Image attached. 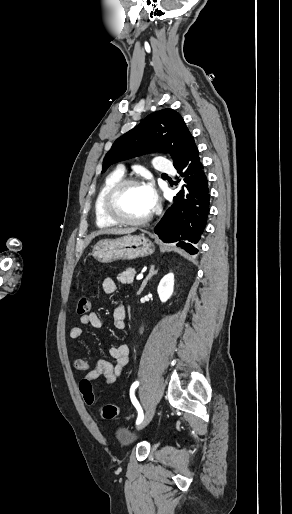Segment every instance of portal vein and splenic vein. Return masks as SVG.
Instances as JSON below:
<instances>
[{
    "label": "portal vein and splenic vein",
    "mask_w": 292,
    "mask_h": 514,
    "mask_svg": "<svg viewBox=\"0 0 292 514\" xmlns=\"http://www.w3.org/2000/svg\"><path fill=\"white\" fill-rule=\"evenodd\" d=\"M143 278V274H139V276H137L136 280H142Z\"/></svg>",
    "instance_id": "1"
}]
</instances>
